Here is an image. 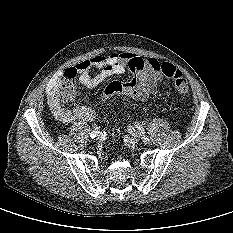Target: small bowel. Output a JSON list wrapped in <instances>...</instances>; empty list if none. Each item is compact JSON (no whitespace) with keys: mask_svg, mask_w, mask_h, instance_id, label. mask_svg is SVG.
Instances as JSON below:
<instances>
[{"mask_svg":"<svg viewBox=\"0 0 233 233\" xmlns=\"http://www.w3.org/2000/svg\"><path fill=\"white\" fill-rule=\"evenodd\" d=\"M161 63L153 58L143 59L132 53H112L107 56L98 55L79 62L66 69L61 76L46 89L48 104L54 116L62 123L68 124L75 120L91 121L95 117L90 106L65 108L59 95V84L69 75L76 76L84 88H93L110 76L119 75L129 69L133 78L127 82H112L104 90L100 101L104 102L116 94H124L134 100L144 101L157 89L163 74L159 70ZM94 69L98 74L91 76Z\"/></svg>","mask_w":233,"mask_h":233,"instance_id":"1","label":"small bowel"}]
</instances>
